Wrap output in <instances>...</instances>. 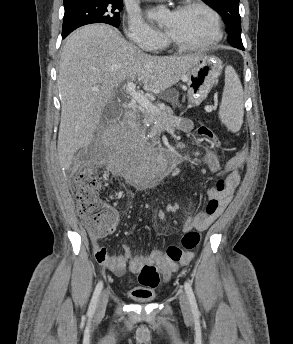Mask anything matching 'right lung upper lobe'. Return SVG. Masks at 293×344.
Wrapping results in <instances>:
<instances>
[{"instance_id":"1","label":"right lung upper lobe","mask_w":293,"mask_h":344,"mask_svg":"<svg viewBox=\"0 0 293 344\" xmlns=\"http://www.w3.org/2000/svg\"><path fill=\"white\" fill-rule=\"evenodd\" d=\"M75 1H78V0H64V4L75 2Z\"/></svg>"}]
</instances>
